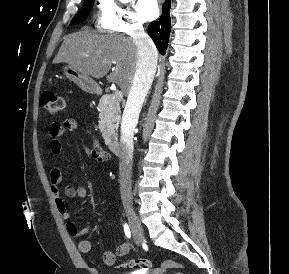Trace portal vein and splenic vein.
<instances>
[{"mask_svg": "<svg viewBox=\"0 0 289 274\" xmlns=\"http://www.w3.org/2000/svg\"><path fill=\"white\" fill-rule=\"evenodd\" d=\"M113 97H114V98H117V99H119V100H122V99H123V93H122V91L116 90V91L114 92V94H113Z\"/></svg>", "mask_w": 289, "mask_h": 274, "instance_id": "obj_1", "label": "portal vein and splenic vein"}]
</instances>
